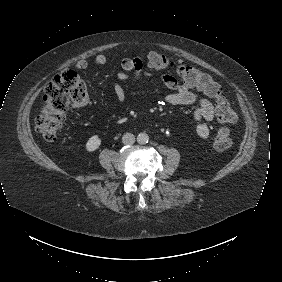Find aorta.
<instances>
[{"mask_svg": "<svg viewBox=\"0 0 282 282\" xmlns=\"http://www.w3.org/2000/svg\"><path fill=\"white\" fill-rule=\"evenodd\" d=\"M137 143L140 145H145L149 142V135L145 132H141L136 137Z\"/></svg>", "mask_w": 282, "mask_h": 282, "instance_id": "aorta-1", "label": "aorta"}]
</instances>
